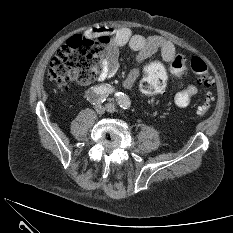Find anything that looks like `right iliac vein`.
<instances>
[{"label": "right iliac vein", "instance_id": "1", "mask_svg": "<svg viewBox=\"0 0 233 233\" xmlns=\"http://www.w3.org/2000/svg\"><path fill=\"white\" fill-rule=\"evenodd\" d=\"M95 111L98 115H103L105 112V107L102 106L101 104L96 105Z\"/></svg>", "mask_w": 233, "mask_h": 233}]
</instances>
